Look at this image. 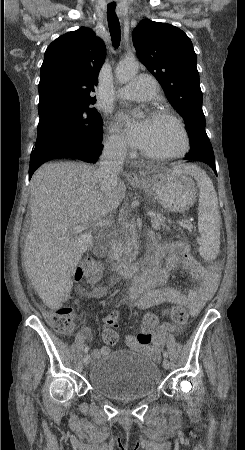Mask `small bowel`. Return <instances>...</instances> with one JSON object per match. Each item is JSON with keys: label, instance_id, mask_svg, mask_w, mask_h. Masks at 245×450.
Listing matches in <instances>:
<instances>
[{"label": "small bowel", "instance_id": "small-bowel-1", "mask_svg": "<svg viewBox=\"0 0 245 450\" xmlns=\"http://www.w3.org/2000/svg\"><path fill=\"white\" fill-rule=\"evenodd\" d=\"M147 257H152L155 265L134 276L129 288L131 303L139 309H148L160 304L183 305L191 316L198 315L218 287L220 265L217 263L219 268L215 271L204 268L191 254L186 243L177 240L161 241L154 233L149 235ZM180 266L199 282V288L181 292L168 285L171 273ZM107 286H92L89 289L81 290L80 295L86 298L102 297ZM179 331L180 329L170 322H158L152 337L154 349L162 350L169 334ZM124 342L130 349L149 350L137 342L135 335L126 336ZM110 351L109 346H104L99 353L108 354Z\"/></svg>", "mask_w": 245, "mask_h": 450}]
</instances>
